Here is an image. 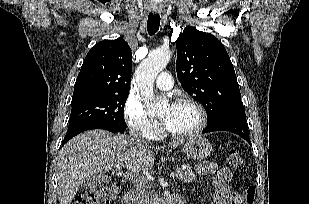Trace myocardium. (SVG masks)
Returning a JSON list of instances; mask_svg holds the SVG:
<instances>
[{
	"label": "myocardium",
	"instance_id": "myocardium-1",
	"mask_svg": "<svg viewBox=\"0 0 309 204\" xmlns=\"http://www.w3.org/2000/svg\"><path fill=\"white\" fill-rule=\"evenodd\" d=\"M173 105H189L194 107L199 114V122L194 129L183 133L172 132L164 126L163 129L166 134L176 139H187L199 135L204 131L208 123V116L202 104L191 98H182L177 100Z\"/></svg>",
	"mask_w": 309,
	"mask_h": 204
}]
</instances>
